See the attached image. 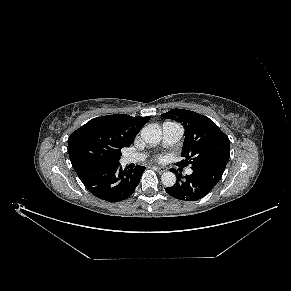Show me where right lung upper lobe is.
<instances>
[{
	"mask_svg": "<svg viewBox=\"0 0 291 291\" xmlns=\"http://www.w3.org/2000/svg\"><path fill=\"white\" fill-rule=\"evenodd\" d=\"M149 117L115 114L91 119L68 138V153L73 168L94 161L95 154L121 155L130 146Z\"/></svg>",
	"mask_w": 291,
	"mask_h": 291,
	"instance_id": "cb5924a9",
	"label": "right lung upper lobe"
}]
</instances>
